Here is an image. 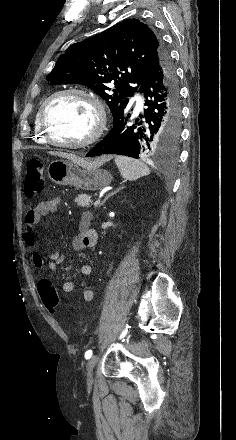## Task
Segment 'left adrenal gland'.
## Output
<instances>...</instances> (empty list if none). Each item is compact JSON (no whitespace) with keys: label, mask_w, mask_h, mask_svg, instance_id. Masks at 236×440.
<instances>
[{"label":"left adrenal gland","mask_w":236,"mask_h":440,"mask_svg":"<svg viewBox=\"0 0 236 440\" xmlns=\"http://www.w3.org/2000/svg\"><path fill=\"white\" fill-rule=\"evenodd\" d=\"M123 188H124V187H119L116 191H114V192L110 193L109 195H107V197L102 201V203H100L99 206L103 205V204L107 201V199H108L109 197H111L112 195L118 193V192H119L121 189H123Z\"/></svg>","instance_id":"left-adrenal-gland-1"}]
</instances>
